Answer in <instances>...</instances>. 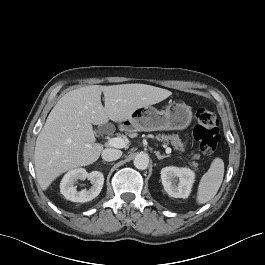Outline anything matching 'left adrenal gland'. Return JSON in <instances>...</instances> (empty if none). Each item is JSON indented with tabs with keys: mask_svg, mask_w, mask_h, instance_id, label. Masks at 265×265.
<instances>
[{
	"mask_svg": "<svg viewBox=\"0 0 265 265\" xmlns=\"http://www.w3.org/2000/svg\"><path fill=\"white\" fill-rule=\"evenodd\" d=\"M155 154L159 160L170 157V155H161L159 151H155Z\"/></svg>",
	"mask_w": 265,
	"mask_h": 265,
	"instance_id": "obj_1",
	"label": "left adrenal gland"
}]
</instances>
